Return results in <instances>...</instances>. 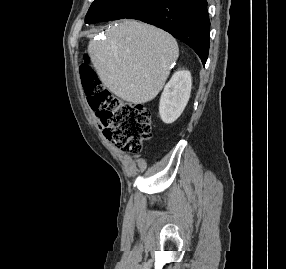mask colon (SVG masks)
<instances>
[{"label":"colon","mask_w":286,"mask_h":269,"mask_svg":"<svg viewBox=\"0 0 286 269\" xmlns=\"http://www.w3.org/2000/svg\"><path fill=\"white\" fill-rule=\"evenodd\" d=\"M90 107L104 125L106 138L128 154L137 155L152 135L151 113L142 104L124 103L112 96L89 65L80 67Z\"/></svg>","instance_id":"1"}]
</instances>
